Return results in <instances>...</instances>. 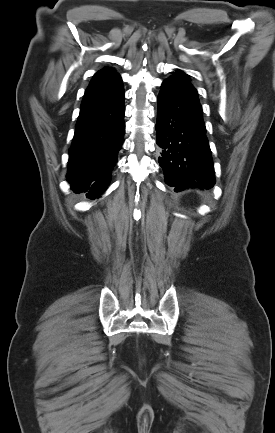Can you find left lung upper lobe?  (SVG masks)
<instances>
[{"mask_svg": "<svg viewBox=\"0 0 275 433\" xmlns=\"http://www.w3.org/2000/svg\"><path fill=\"white\" fill-rule=\"evenodd\" d=\"M173 74L174 75L172 77L180 78V79H184V80L189 81L188 76L185 73H183L182 71H180V70H177L176 72H173Z\"/></svg>", "mask_w": 275, "mask_h": 433, "instance_id": "1", "label": "left lung upper lobe"}]
</instances>
